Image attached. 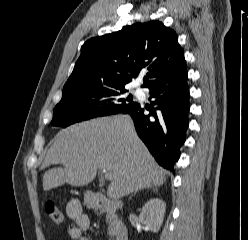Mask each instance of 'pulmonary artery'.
Returning <instances> with one entry per match:
<instances>
[{
	"instance_id": "e3ab8cb5",
	"label": "pulmonary artery",
	"mask_w": 248,
	"mask_h": 240,
	"mask_svg": "<svg viewBox=\"0 0 248 240\" xmlns=\"http://www.w3.org/2000/svg\"><path fill=\"white\" fill-rule=\"evenodd\" d=\"M139 95H143V92H142V90H138V92H137Z\"/></svg>"
}]
</instances>
